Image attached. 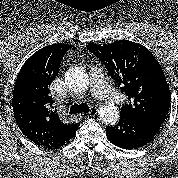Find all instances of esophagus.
<instances>
[{
	"mask_svg": "<svg viewBox=\"0 0 178 178\" xmlns=\"http://www.w3.org/2000/svg\"><path fill=\"white\" fill-rule=\"evenodd\" d=\"M98 113V110L96 108H91V110L89 111V113L86 115L87 116H95ZM79 116L82 117V114H80Z\"/></svg>",
	"mask_w": 178,
	"mask_h": 178,
	"instance_id": "34e87169",
	"label": "esophagus"
}]
</instances>
